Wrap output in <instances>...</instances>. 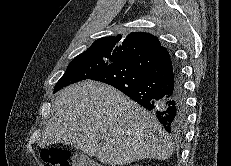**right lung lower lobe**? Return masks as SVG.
<instances>
[{"label": "right lung lower lobe", "mask_w": 231, "mask_h": 166, "mask_svg": "<svg viewBox=\"0 0 231 166\" xmlns=\"http://www.w3.org/2000/svg\"><path fill=\"white\" fill-rule=\"evenodd\" d=\"M88 79L117 88L152 111L168 133L183 135L187 123L183 79L165 47L119 60Z\"/></svg>", "instance_id": "right-lung-lower-lobe-1"}]
</instances>
